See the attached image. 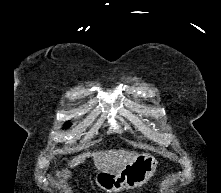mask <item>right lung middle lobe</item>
Wrapping results in <instances>:
<instances>
[{"label":"right lung middle lobe","instance_id":"1","mask_svg":"<svg viewBox=\"0 0 221 193\" xmlns=\"http://www.w3.org/2000/svg\"><path fill=\"white\" fill-rule=\"evenodd\" d=\"M69 124H66L65 127H68Z\"/></svg>","mask_w":221,"mask_h":193}]
</instances>
